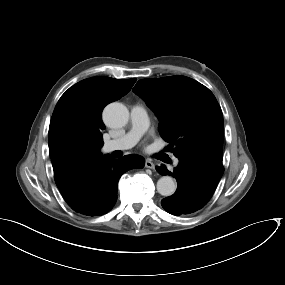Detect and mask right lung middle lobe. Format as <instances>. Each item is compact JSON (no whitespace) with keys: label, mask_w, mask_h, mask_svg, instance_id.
<instances>
[{"label":"right lung middle lobe","mask_w":285,"mask_h":285,"mask_svg":"<svg viewBox=\"0 0 285 285\" xmlns=\"http://www.w3.org/2000/svg\"><path fill=\"white\" fill-rule=\"evenodd\" d=\"M82 123L72 115L57 117L52 126L54 142L69 156L85 159L103 146L102 130Z\"/></svg>","instance_id":"right-lung-middle-lobe-1"}]
</instances>
